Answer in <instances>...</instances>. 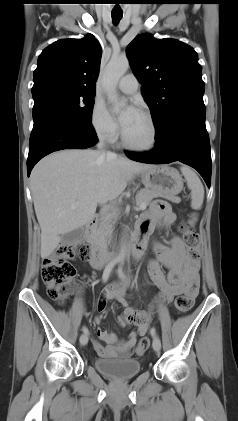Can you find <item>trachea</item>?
<instances>
[{
  "mask_svg": "<svg viewBox=\"0 0 238 421\" xmlns=\"http://www.w3.org/2000/svg\"><path fill=\"white\" fill-rule=\"evenodd\" d=\"M114 24H118L122 19L123 13H111Z\"/></svg>",
  "mask_w": 238,
  "mask_h": 421,
  "instance_id": "obj_1",
  "label": "trachea"
}]
</instances>
